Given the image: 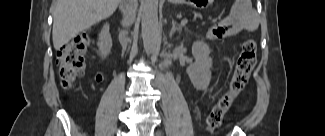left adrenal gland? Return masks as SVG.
<instances>
[{
	"mask_svg": "<svg viewBox=\"0 0 325 136\" xmlns=\"http://www.w3.org/2000/svg\"><path fill=\"white\" fill-rule=\"evenodd\" d=\"M182 25H178L177 22L172 19V27H171V31L169 33V36L170 38H172L173 34L176 32V31H181L182 30Z\"/></svg>",
	"mask_w": 325,
	"mask_h": 136,
	"instance_id": "1",
	"label": "left adrenal gland"
}]
</instances>
